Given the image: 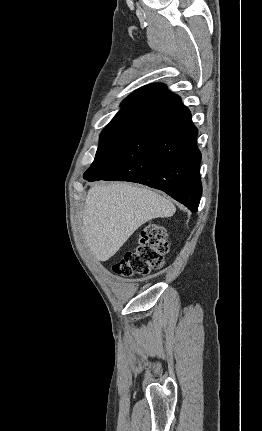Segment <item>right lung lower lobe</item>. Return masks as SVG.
Returning <instances> with one entry per match:
<instances>
[{"label": "right lung lower lobe", "instance_id": "obj_1", "mask_svg": "<svg viewBox=\"0 0 262 431\" xmlns=\"http://www.w3.org/2000/svg\"><path fill=\"white\" fill-rule=\"evenodd\" d=\"M197 134L189 109L178 104L132 125L84 178L148 185L195 212L202 194Z\"/></svg>", "mask_w": 262, "mask_h": 431}]
</instances>
